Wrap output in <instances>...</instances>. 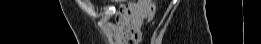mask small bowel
Returning <instances> with one entry per match:
<instances>
[{
  "label": "small bowel",
  "mask_w": 261,
  "mask_h": 44,
  "mask_svg": "<svg viewBox=\"0 0 261 44\" xmlns=\"http://www.w3.org/2000/svg\"><path fill=\"white\" fill-rule=\"evenodd\" d=\"M147 17V8L138 1L134 6L128 3L117 12L115 36L123 44H137L141 39V27Z\"/></svg>",
  "instance_id": "obj_1"
}]
</instances>
